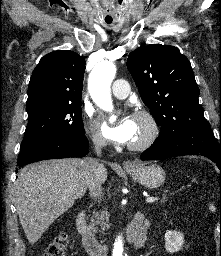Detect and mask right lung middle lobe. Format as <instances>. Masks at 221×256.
I'll use <instances>...</instances> for the list:
<instances>
[{
  "instance_id": "right-lung-middle-lobe-1",
  "label": "right lung middle lobe",
  "mask_w": 221,
  "mask_h": 256,
  "mask_svg": "<svg viewBox=\"0 0 221 256\" xmlns=\"http://www.w3.org/2000/svg\"><path fill=\"white\" fill-rule=\"evenodd\" d=\"M28 124L20 149L52 135L85 133L81 103L43 104L27 109Z\"/></svg>"
}]
</instances>
